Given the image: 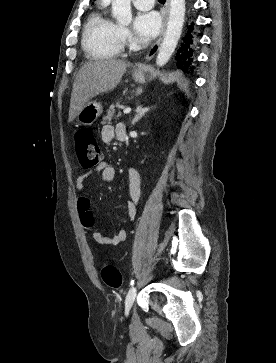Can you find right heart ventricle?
<instances>
[{"label": "right heart ventricle", "mask_w": 276, "mask_h": 363, "mask_svg": "<svg viewBox=\"0 0 276 363\" xmlns=\"http://www.w3.org/2000/svg\"><path fill=\"white\" fill-rule=\"evenodd\" d=\"M120 25L106 17L102 12L93 13L86 25L82 45L93 59H111L123 50V38Z\"/></svg>", "instance_id": "e07e8e85"}]
</instances>
